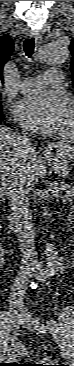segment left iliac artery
<instances>
[{
  "instance_id": "obj_1",
  "label": "left iliac artery",
  "mask_w": 74,
  "mask_h": 366,
  "mask_svg": "<svg viewBox=\"0 0 74 366\" xmlns=\"http://www.w3.org/2000/svg\"><path fill=\"white\" fill-rule=\"evenodd\" d=\"M47 325H48L49 329L51 330V332L56 333V334L60 332L59 324L55 320L47 321Z\"/></svg>"
}]
</instances>
